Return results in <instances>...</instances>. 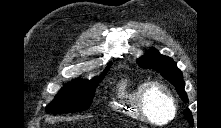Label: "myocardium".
<instances>
[{
    "label": "myocardium",
    "instance_id": "f54148a6",
    "mask_svg": "<svg viewBox=\"0 0 221 128\" xmlns=\"http://www.w3.org/2000/svg\"><path fill=\"white\" fill-rule=\"evenodd\" d=\"M154 92H159L162 95H164V97L167 99V101L171 107V115L163 123L156 122L148 109V101ZM137 105H138V111H139L141 117L149 122L156 123V124H168L169 122H171L174 119L176 112H177L175 98H174L171 90L168 88V86L166 84H164L160 81L146 82L142 86V88L138 94Z\"/></svg>",
    "mask_w": 221,
    "mask_h": 128
}]
</instances>
